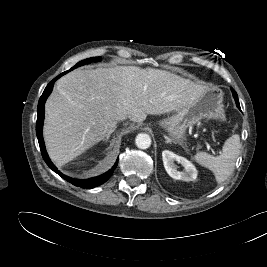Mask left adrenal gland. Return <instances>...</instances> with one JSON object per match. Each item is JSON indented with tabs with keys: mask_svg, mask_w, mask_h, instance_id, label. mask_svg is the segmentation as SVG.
I'll return each mask as SVG.
<instances>
[{
	"mask_svg": "<svg viewBox=\"0 0 267 267\" xmlns=\"http://www.w3.org/2000/svg\"><path fill=\"white\" fill-rule=\"evenodd\" d=\"M164 137L166 139V143H171L172 142V140L169 137H167V136H164Z\"/></svg>",
	"mask_w": 267,
	"mask_h": 267,
	"instance_id": "a2214340",
	"label": "left adrenal gland"
}]
</instances>
